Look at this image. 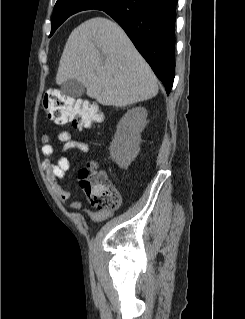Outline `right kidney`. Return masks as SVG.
<instances>
[{
  "label": "right kidney",
  "instance_id": "obj_1",
  "mask_svg": "<svg viewBox=\"0 0 245 319\" xmlns=\"http://www.w3.org/2000/svg\"><path fill=\"white\" fill-rule=\"evenodd\" d=\"M147 110L133 108L119 121L115 137L110 143V155L122 169H127L140 151L141 132L146 126Z\"/></svg>",
  "mask_w": 245,
  "mask_h": 319
}]
</instances>
